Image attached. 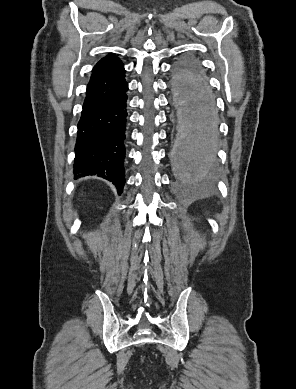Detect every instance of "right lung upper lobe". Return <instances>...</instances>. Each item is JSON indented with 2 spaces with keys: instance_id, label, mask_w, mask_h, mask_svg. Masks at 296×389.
Returning <instances> with one entry per match:
<instances>
[{
  "instance_id": "cb5924a9",
  "label": "right lung upper lobe",
  "mask_w": 296,
  "mask_h": 389,
  "mask_svg": "<svg viewBox=\"0 0 296 389\" xmlns=\"http://www.w3.org/2000/svg\"><path fill=\"white\" fill-rule=\"evenodd\" d=\"M124 76L125 69L120 59L112 54L102 58L93 68L84 104L116 93L127 84Z\"/></svg>"
}]
</instances>
